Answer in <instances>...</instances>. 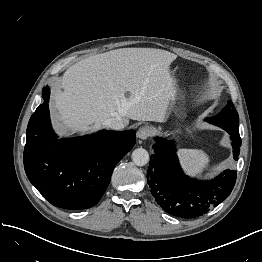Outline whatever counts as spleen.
Segmentation results:
<instances>
[{"instance_id": "obj_1", "label": "spleen", "mask_w": 262, "mask_h": 262, "mask_svg": "<svg viewBox=\"0 0 262 262\" xmlns=\"http://www.w3.org/2000/svg\"><path fill=\"white\" fill-rule=\"evenodd\" d=\"M178 156L187 174L200 176L208 167L210 159L201 149H179Z\"/></svg>"}]
</instances>
